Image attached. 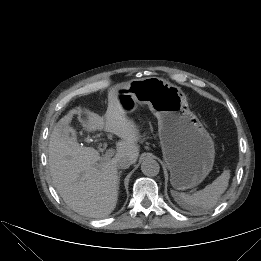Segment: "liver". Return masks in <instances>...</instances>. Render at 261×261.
<instances>
[{
	"label": "liver",
	"mask_w": 261,
	"mask_h": 261,
	"mask_svg": "<svg viewBox=\"0 0 261 261\" xmlns=\"http://www.w3.org/2000/svg\"><path fill=\"white\" fill-rule=\"evenodd\" d=\"M127 84L108 91V107L103 117L78 106L61 118L51 133L48 164L52 182L65 203L80 215L102 218L111 214L118 200L117 160L127 156L135 163L138 159L139 130L117 98V90ZM74 115H78L86 131L104 130L122 139L116 144L112 159L102 160L97 150L81 146L69 136L66 129Z\"/></svg>",
	"instance_id": "6515ba94"
}]
</instances>
